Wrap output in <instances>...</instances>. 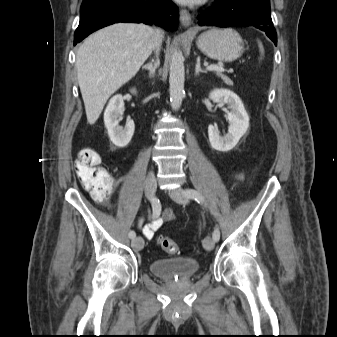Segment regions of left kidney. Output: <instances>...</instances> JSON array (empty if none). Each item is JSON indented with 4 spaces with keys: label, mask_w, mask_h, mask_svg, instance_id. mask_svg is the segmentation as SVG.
I'll list each match as a JSON object with an SVG mask.
<instances>
[{
    "label": "left kidney",
    "mask_w": 337,
    "mask_h": 337,
    "mask_svg": "<svg viewBox=\"0 0 337 337\" xmlns=\"http://www.w3.org/2000/svg\"><path fill=\"white\" fill-rule=\"evenodd\" d=\"M209 98L217 103L228 105L230 112L227 113V119L230 122L228 133L220 136L218 129L212 125L208 127L209 141L215 150L227 152L233 149L240 138L246 133L249 127V116L241 99L228 89H215Z\"/></svg>",
    "instance_id": "left-kidney-1"
}]
</instances>
